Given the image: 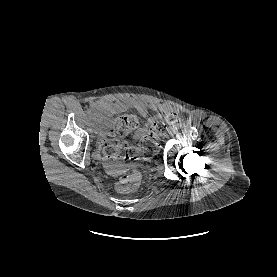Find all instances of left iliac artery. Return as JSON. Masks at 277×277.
Here are the masks:
<instances>
[{"mask_svg":"<svg viewBox=\"0 0 277 277\" xmlns=\"http://www.w3.org/2000/svg\"><path fill=\"white\" fill-rule=\"evenodd\" d=\"M174 126L176 127V129H180L182 127V124L181 123H176Z\"/></svg>","mask_w":277,"mask_h":277,"instance_id":"1","label":"left iliac artery"}]
</instances>
